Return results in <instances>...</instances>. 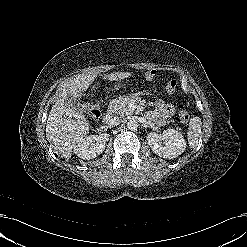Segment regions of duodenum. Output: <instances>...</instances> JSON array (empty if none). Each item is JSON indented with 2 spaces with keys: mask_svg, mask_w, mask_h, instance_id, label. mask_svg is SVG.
I'll return each mask as SVG.
<instances>
[{
  "mask_svg": "<svg viewBox=\"0 0 247 247\" xmlns=\"http://www.w3.org/2000/svg\"><path fill=\"white\" fill-rule=\"evenodd\" d=\"M112 115H113V111L107 112L105 115L104 121L108 122L111 119Z\"/></svg>",
  "mask_w": 247,
  "mask_h": 247,
  "instance_id": "obj_1",
  "label": "duodenum"
}]
</instances>
